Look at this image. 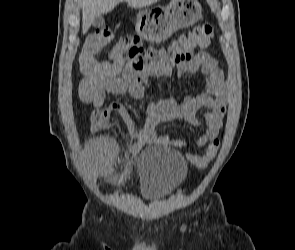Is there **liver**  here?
<instances>
[{"label": "liver", "instance_id": "liver-1", "mask_svg": "<svg viewBox=\"0 0 295 250\" xmlns=\"http://www.w3.org/2000/svg\"><path fill=\"white\" fill-rule=\"evenodd\" d=\"M128 2L132 8H143L159 0H82V32L87 33L96 17L111 12L120 2Z\"/></svg>", "mask_w": 295, "mask_h": 250}]
</instances>
